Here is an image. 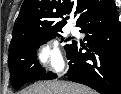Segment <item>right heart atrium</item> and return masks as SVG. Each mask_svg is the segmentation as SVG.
Listing matches in <instances>:
<instances>
[{
	"label": "right heart atrium",
	"mask_w": 121,
	"mask_h": 94,
	"mask_svg": "<svg viewBox=\"0 0 121 94\" xmlns=\"http://www.w3.org/2000/svg\"><path fill=\"white\" fill-rule=\"evenodd\" d=\"M37 59L40 65L54 71H62L64 60L56 42L46 43L37 52Z\"/></svg>",
	"instance_id": "d8ad5b80"
}]
</instances>
